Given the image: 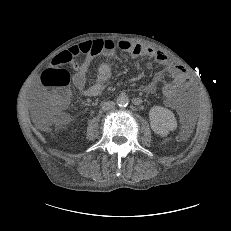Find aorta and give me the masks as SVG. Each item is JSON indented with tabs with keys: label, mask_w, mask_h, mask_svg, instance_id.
<instances>
[{
	"label": "aorta",
	"mask_w": 231,
	"mask_h": 231,
	"mask_svg": "<svg viewBox=\"0 0 231 231\" xmlns=\"http://www.w3.org/2000/svg\"><path fill=\"white\" fill-rule=\"evenodd\" d=\"M117 104L119 106H127L128 103H129V98L127 95L125 94H120L118 97H117Z\"/></svg>",
	"instance_id": "762f6f07"
}]
</instances>
